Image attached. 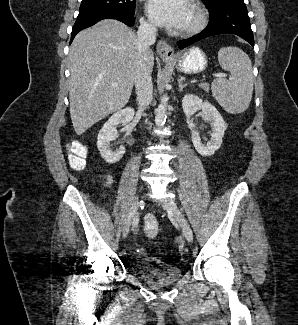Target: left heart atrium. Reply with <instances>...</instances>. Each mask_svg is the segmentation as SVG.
Segmentation results:
<instances>
[{
	"label": "left heart atrium",
	"mask_w": 298,
	"mask_h": 325,
	"mask_svg": "<svg viewBox=\"0 0 298 325\" xmlns=\"http://www.w3.org/2000/svg\"><path fill=\"white\" fill-rule=\"evenodd\" d=\"M186 5L183 0H149L147 14L159 27L179 30L183 26Z\"/></svg>",
	"instance_id": "obj_1"
}]
</instances>
